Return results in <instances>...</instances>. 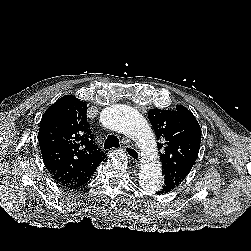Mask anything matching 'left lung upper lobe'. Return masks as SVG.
<instances>
[{"label":"left lung upper lobe","instance_id":"1","mask_svg":"<svg viewBox=\"0 0 251 251\" xmlns=\"http://www.w3.org/2000/svg\"><path fill=\"white\" fill-rule=\"evenodd\" d=\"M149 121L159 140L164 184L178 186L192 169L200 149L201 128L184 106L171 110L151 109Z\"/></svg>","mask_w":251,"mask_h":251}]
</instances>
